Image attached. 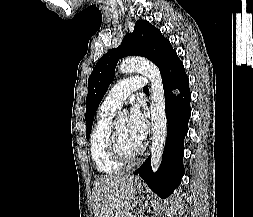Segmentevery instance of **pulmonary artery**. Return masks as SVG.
<instances>
[{"label":"pulmonary artery","mask_w":253,"mask_h":217,"mask_svg":"<svg viewBox=\"0 0 253 217\" xmlns=\"http://www.w3.org/2000/svg\"><path fill=\"white\" fill-rule=\"evenodd\" d=\"M147 81L143 76L128 77L114 85L105 96L101 108L118 111L127 97L134 91L144 88Z\"/></svg>","instance_id":"obj_1"}]
</instances>
